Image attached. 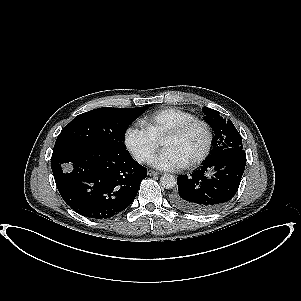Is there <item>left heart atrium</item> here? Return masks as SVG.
<instances>
[{"mask_svg": "<svg viewBox=\"0 0 301 301\" xmlns=\"http://www.w3.org/2000/svg\"><path fill=\"white\" fill-rule=\"evenodd\" d=\"M150 163L162 170L175 171L184 168L187 161L170 149H164L159 154L153 156Z\"/></svg>", "mask_w": 301, "mask_h": 301, "instance_id": "obj_1", "label": "left heart atrium"}]
</instances>
